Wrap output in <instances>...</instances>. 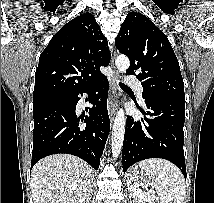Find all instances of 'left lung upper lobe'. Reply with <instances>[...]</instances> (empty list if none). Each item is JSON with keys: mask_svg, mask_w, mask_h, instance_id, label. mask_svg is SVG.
I'll use <instances>...</instances> for the list:
<instances>
[{"mask_svg": "<svg viewBox=\"0 0 214 203\" xmlns=\"http://www.w3.org/2000/svg\"><path fill=\"white\" fill-rule=\"evenodd\" d=\"M115 44L127 55L126 71L142 82L143 98L185 102L184 83L177 57L166 35L141 13L127 14Z\"/></svg>", "mask_w": 214, "mask_h": 203, "instance_id": "obj_1", "label": "left lung upper lobe"}]
</instances>
